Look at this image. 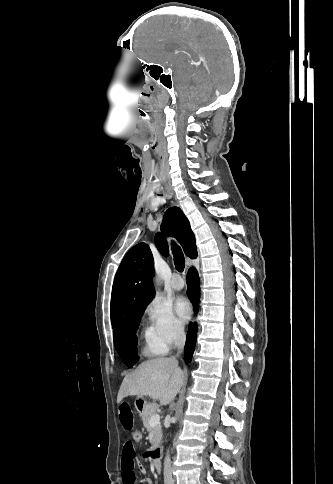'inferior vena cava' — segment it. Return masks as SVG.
Instances as JSON below:
<instances>
[{
    "mask_svg": "<svg viewBox=\"0 0 333 484\" xmlns=\"http://www.w3.org/2000/svg\"><path fill=\"white\" fill-rule=\"evenodd\" d=\"M175 345L177 346L178 350H182L185 344V333L183 328H178L175 332ZM164 484H174V480L172 477V469H171V459L169 455V451L166 453V457L164 460Z\"/></svg>",
    "mask_w": 333,
    "mask_h": 484,
    "instance_id": "inferior-vena-cava-1",
    "label": "inferior vena cava"
}]
</instances>
